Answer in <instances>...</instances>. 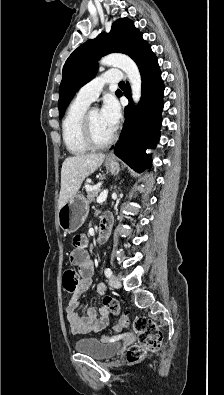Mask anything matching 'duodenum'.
I'll return each instance as SVG.
<instances>
[{
  "mask_svg": "<svg viewBox=\"0 0 224 395\" xmlns=\"http://www.w3.org/2000/svg\"><path fill=\"white\" fill-rule=\"evenodd\" d=\"M113 218L110 214H104L100 220L97 241L99 244H105L110 237Z\"/></svg>",
  "mask_w": 224,
  "mask_h": 395,
  "instance_id": "duodenum-1",
  "label": "duodenum"
}]
</instances>
